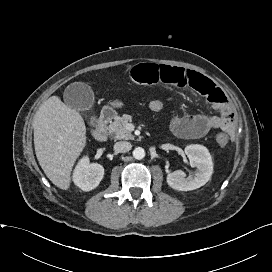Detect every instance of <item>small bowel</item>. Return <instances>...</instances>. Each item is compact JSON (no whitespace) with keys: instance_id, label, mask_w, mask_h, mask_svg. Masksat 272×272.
I'll return each mask as SVG.
<instances>
[{"instance_id":"c3829d8e","label":"small bowel","mask_w":272,"mask_h":272,"mask_svg":"<svg viewBox=\"0 0 272 272\" xmlns=\"http://www.w3.org/2000/svg\"><path fill=\"white\" fill-rule=\"evenodd\" d=\"M130 77L138 85L167 84L189 87L205 96L213 109L220 113L173 116L169 127L174 135L186 139L200 138L211 130L221 129L234 138L235 120L231 106L222 89L210 79L189 69L153 63L136 65Z\"/></svg>"}]
</instances>
